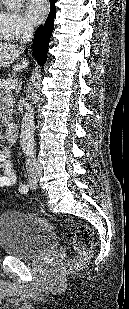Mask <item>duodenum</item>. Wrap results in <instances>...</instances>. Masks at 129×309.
<instances>
[{"instance_id": "obj_1", "label": "duodenum", "mask_w": 129, "mask_h": 309, "mask_svg": "<svg viewBox=\"0 0 129 309\" xmlns=\"http://www.w3.org/2000/svg\"><path fill=\"white\" fill-rule=\"evenodd\" d=\"M5 138L9 143H14L18 138V125L15 122H9L5 127Z\"/></svg>"}]
</instances>
